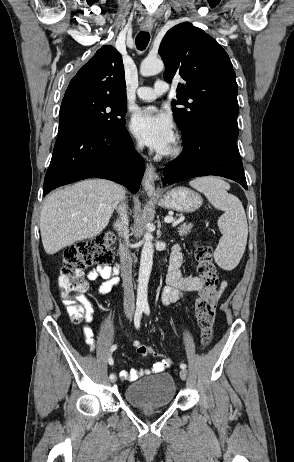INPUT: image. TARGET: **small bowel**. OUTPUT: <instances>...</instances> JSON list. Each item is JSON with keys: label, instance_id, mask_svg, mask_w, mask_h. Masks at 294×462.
<instances>
[{"label": "small bowel", "instance_id": "obj_1", "mask_svg": "<svg viewBox=\"0 0 294 462\" xmlns=\"http://www.w3.org/2000/svg\"><path fill=\"white\" fill-rule=\"evenodd\" d=\"M182 263L183 256L180 247L179 245H175L170 256L168 271L166 275V286L163 288L161 294V300L164 305L175 303L186 297H190L202 288L203 282L200 277L182 275L180 270ZM87 277L90 281H95L98 279L103 280L98 289V292L101 295H105L119 283L118 267L116 265H99L91 270ZM226 285L227 282L223 281L220 287V292L226 287ZM82 304L85 310L84 318L87 323L83 327V334L86 344L89 346L90 350L93 351L95 350V340L93 330L89 326V323H91L93 320L94 308L93 305L85 298H82ZM134 345L137 349V352L142 356L149 354L148 346H145L139 342H135ZM169 366L170 360L163 358L160 361L152 364V366L148 369L140 371L136 369H131L129 371L123 370L120 372V377L127 381H135L141 375L159 373L164 371Z\"/></svg>", "mask_w": 294, "mask_h": 462}]
</instances>
